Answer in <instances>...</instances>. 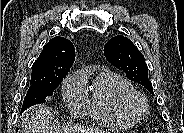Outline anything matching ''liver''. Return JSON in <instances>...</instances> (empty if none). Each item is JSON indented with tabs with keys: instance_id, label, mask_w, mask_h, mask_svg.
<instances>
[{
	"instance_id": "6515ba94",
	"label": "liver",
	"mask_w": 184,
	"mask_h": 133,
	"mask_svg": "<svg viewBox=\"0 0 184 133\" xmlns=\"http://www.w3.org/2000/svg\"><path fill=\"white\" fill-rule=\"evenodd\" d=\"M52 109L47 105H36L29 108L21 117L22 133H106L100 129L86 127H65L63 130L54 124Z\"/></svg>"
}]
</instances>
